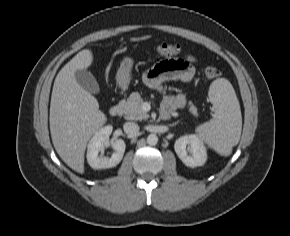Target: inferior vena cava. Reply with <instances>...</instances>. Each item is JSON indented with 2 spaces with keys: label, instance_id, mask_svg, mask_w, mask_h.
Here are the masks:
<instances>
[{
  "label": "inferior vena cava",
  "instance_id": "602c4592",
  "mask_svg": "<svg viewBox=\"0 0 290 236\" xmlns=\"http://www.w3.org/2000/svg\"><path fill=\"white\" fill-rule=\"evenodd\" d=\"M123 129L127 134H136L139 131V126L135 122H126Z\"/></svg>",
  "mask_w": 290,
  "mask_h": 236
}]
</instances>
